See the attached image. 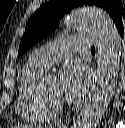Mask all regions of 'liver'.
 Returning <instances> with one entry per match:
<instances>
[{"instance_id": "6515ba94", "label": "liver", "mask_w": 125, "mask_h": 128, "mask_svg": "<svg viewBox=\"0 0 125 128\" xmlns=\"http://www.w3.org/2000/svg\"><path fill=\"white\" fill-rule=\"evenodd\" d=\"M16 128H27V127H24V126H16ZM52 128V126H51Z\"/></svg>"}]
</instances>
